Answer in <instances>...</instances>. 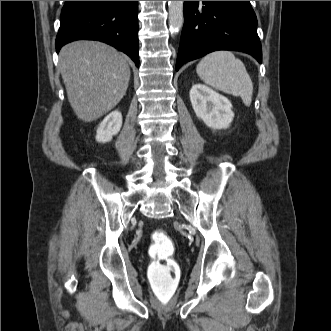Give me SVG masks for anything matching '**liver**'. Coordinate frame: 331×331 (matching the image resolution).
Here are the masks:
<instances>
[{"label": "liver", "instance_id": "6515ba94", "mask_svg": "<svg viewBox=\"0 0 331 331\" xmlns=\"http://www.w3.org/2000/svg\"><path fill=\"white\" fill-rule=\"evenodd\" d=\"M59 59L68 101L79 119L91 122L102 117L125 95L130 68L111 46L75 41L61 49Z\"/></svg>", "mask_w": 331, "mask_h": 331}]
</instances>
